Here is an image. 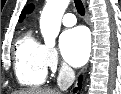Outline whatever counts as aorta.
<instances>
[{
	"instance_id": "1",
	"label": "aorta",
	"mask_w": 121,
	"mask_h": 94,
	"mask_svg": "<svg viewBox=\"0 0 121 94\" xmlns=\"http://www.w3.org/2000/svg\"><path fill=\"white\" fill-rule=\"evenodd\" d=\"M70 0H47L40 17V30L45 45L49 48L55 46L59 34L61 20Z\"/></svg>"
}]
</instances>
